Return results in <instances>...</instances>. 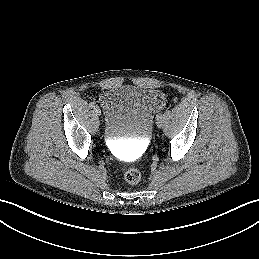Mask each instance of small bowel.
I'll use <instances>...</instances> for the list:
<instances>
[{"label": "small bowel", "instance_id": "small-bowel-1", "mask_svg": "<svg viewBox=\"0 0 259 259\" xmlns=\"http://www.w3.org/2000/svg\"><path fill=\"white\" fill-rule=\"evenodd\" d=\"M157 96H158V99H159V105H158V107H159V106L162 105V102H161V99H160L159 95H157Z\"/></svg>", "mask_w": 259, "mask_h": 259}]
</instances>
